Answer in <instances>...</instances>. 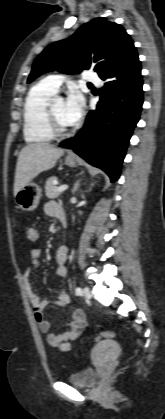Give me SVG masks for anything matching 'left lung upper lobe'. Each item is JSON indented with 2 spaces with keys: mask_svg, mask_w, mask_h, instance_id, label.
Returning a JSON list of instances; mask_svg holds the SVG:
<instances>
[{
  "mask_svg": "<svg viewBox=\"0 0 165 419\" xmlns=\"http://www.w3.org/2000/svg\"><path fill=\"white\" fill-rule=\"evenodd\" d=\"M134 47L119 24L95 18L71 37L52 43L36 58L28 83L49 71L79 73L91 66L99 76L121 62Z\"/></svg>",
  "mask_w": 165,
  "mask_h": 419,
  "instance_id": "1",
  "label": "left lung upper lobe"
}]
</instances>
